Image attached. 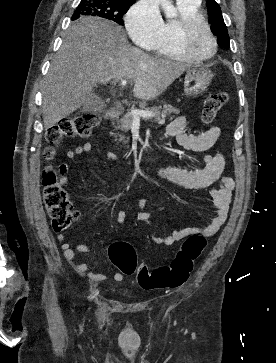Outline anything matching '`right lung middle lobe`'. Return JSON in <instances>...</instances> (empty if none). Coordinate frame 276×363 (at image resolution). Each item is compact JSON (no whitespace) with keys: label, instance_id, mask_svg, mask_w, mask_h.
Returning <instances> with one entry per match:
<instances>
[{"label":"right lung middle lobe","instance_id":"right-lung-middle-lobe-1","mask_svg":"<svg viewBox=\"0 0 276 363\" xmlns=\"http://www.w3.org/2000/svg\"><path fill=\"white\" fill-rule=\"evenodd\" d=\"M132 4L133 2L117 0H81L74 11L72 20H76L80 16H96L124 25L123 15Z\"/></svg>","mask_w":276,"mask_h":363}]
</instances>
